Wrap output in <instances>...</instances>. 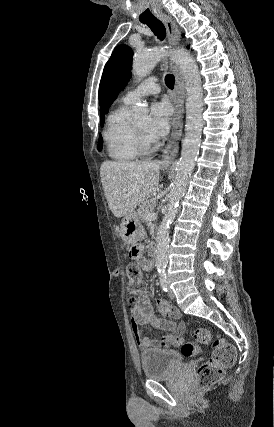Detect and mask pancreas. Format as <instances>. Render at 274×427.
<instances>
[{
  "label": "pancreas",
  "mask_w": 274,
  "mask_h": 427,
  "mask_svg": "<svg viewBox=\"0 0 274 427\" xmlns=\"http://www.w3.org/2000/svg\"><path fill=\"white\" fill-rule=\"evenodd\" d=\"M156 198H151V200H146L141 204L139 210H137L138 219L141 221H146L147 214H152L154 208H156Z\"/></svg>",
  "instance_id": "cf45deb5"
}]
</instances>
